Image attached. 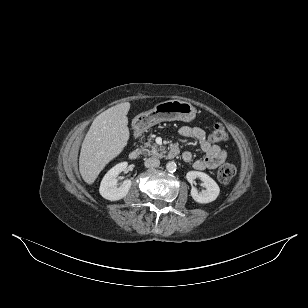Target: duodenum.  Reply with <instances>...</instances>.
<instances>
[{"label":"duodenum","instance_id":"obj_1","mask_svg":"<svg viewBox=\"0 0 308 308\" xmlns=\"http://www.w3.org/2000/svg\"><path fill=\"white\" fill-rule=\"evenodd\" d=\"M142 133V129L140 126H137L135 129V136H139ZM179 153V148L177 146H172L168 152V157L169 158H174L176 155H178ZM140 156V151L138 149H133L130 153H129V158L131 160H136L138 159Z\"/></svg>","mask_w":308,"mask_h":308}]
</instances>
